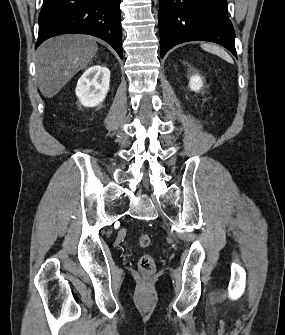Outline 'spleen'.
Returning a JSON list of instances; mask_svg holds the SVG:
<instances>
[{"instance_id":"1","label":"spleen","mask_w":285,"mask_h":335,"mask_svg":"<svg viewBox=\"0 0 285 335\" xmlns=\"http://www.w3.org/2000/svg\"><path fill=\"white\" fill-rule=\"evenodd\" d=\"M203 50H206V52H210V54H216V56H220V58H223V60H226V62H229V64H234L231 56L223 50V48H218V46H212V44H203L201 46Z\"/></svg>"}]
</instances>
